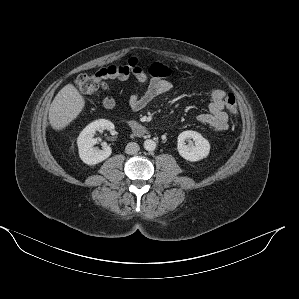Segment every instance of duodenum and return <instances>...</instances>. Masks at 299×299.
I'll use <instances>...</instances> for the list:
<instances>
[{
  "instance_id": "duodenum-1",
  "label": "duodenum",
  "mask_w": 299,
  "mask_h": 299,
  "mask_svg": "<svg viewBox=\"0 0 299 299\" xmlns=\"http://www.w3.org/2000/svg\"><path fill=\"white\" fill-rule=\"evenodd\" d=\"M124 124L137 136H144L146 134V128L141 123L133 120H124Z\"/></svg>"
}]
</instances>
